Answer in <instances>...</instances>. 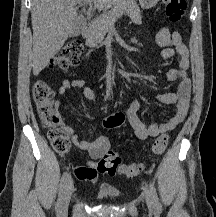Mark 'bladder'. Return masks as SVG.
<instances>
[{"label":"bladder","mask_w":216,"mask_h":217,"mask_svg":"<svg viewBox=\"0 0 216 217\" xmlns=\"http://www.w3.org/2000/svg\"><path fill=\"white\" fill-rule=\"evenodd\" d=\"M97 197L100 199H115L119 197V192L112 189H99L96 193Z\"/></svg>","instance_id":"31cf9c89"}]
</instances>
